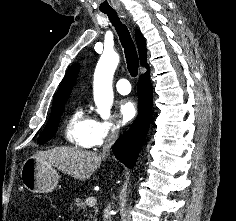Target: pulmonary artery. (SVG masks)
Instances as JSON below:
<instances>
[{
  "mask_svg": "<svg viewBox=\"0 0 236 221\" xmlns=\"http://www.w3.org/2000/svg\"><path fill=\"white\" fill-rule=\"evenodd\" d=\"M116 90L118 91V93L122 94V95H126L128 93H130L131 91V86L130 83L127 79H119L116 82Z\"/></svg>",
  "mask_w": 236,
  "mask_h": 221,
  "instance_id": "pulmonary-artery-1",
  "label": "pulmonary artery"
}]
</instances>
